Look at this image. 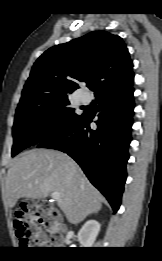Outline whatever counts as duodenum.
<instances>
[{"mask_svg":"<svg viewBox=\"0 0 162 261\" xmlns=\"http://www.w3.org/2000/svg\"><path fill=\"white\" fill-rule=\"evenodd\" d=\"M54 235L58 236V239L54 241L56 245H64L65 244V238L70 236V232L62 233L59 229H56L54 231H50Z\"/></svg>","mask_w":162,"mask_h":261,"instance_id":"1","label":"duodenum"}]
</instances>
